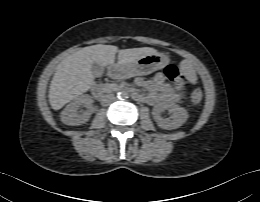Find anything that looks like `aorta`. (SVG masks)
<instances>
[{
	"label": "aorta",
	"instance_id": "762f6f07",
	"mask_svg": "<svg viewBox=\"0 0 260 202\" xmlns=\"http://www.w3.org/2000/svg\"><path fill=\"white\" fill-rule=\"evenodd\" d=\"M129 93L127 91H120L118 92V98L119 99H124V98H128Z\"/></svg>",
	"mask_w": 260,
	"mask_h": 202
}]
</instances>
